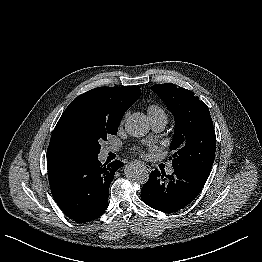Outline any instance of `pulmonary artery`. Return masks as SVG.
<instances>
[{"instance_id": "pulmonary-artery-1", "label": "pulmonary artery", "mask_w": 262, "mask_h": 262, "mask_svg": "<svg viewBox=\"0 0 262 262\" xmlns=\"http://www.w3.org/2000/svg\"><path fill=\"white\" fill-rule=\"evenodd\" d=\"M151 123V127L155 132H161L164 130L166 124H167V120L164 118H153L150 120ZM173 168H169L167 170L168 174H172L173 173Z\"/></svg>"}]
</instances>
